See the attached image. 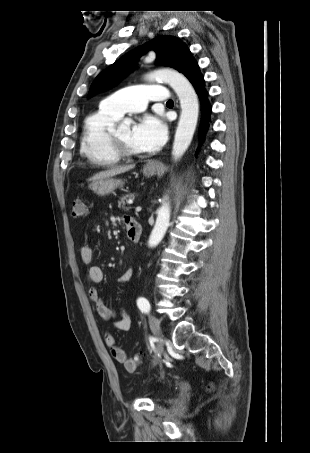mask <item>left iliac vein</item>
Segmentation results:
<instances>
[{"label": "left iliac vein", "instance_id": "1", "mask_svg": "<svg viewBox=\"0 0 310 453\" xmlns=\"http://www.w3.org/2000/svg\"><path fill=\"white\" fill-rule=\"evenodd\" d=\"M149 325L157 339L156 356H155V361L157 362L158 356L162 353V350H163L164 338L161 334L160 321L155 316H149Z\"/></svg>", "mask_w": 310, "mask_h": 453}]
</instances>
